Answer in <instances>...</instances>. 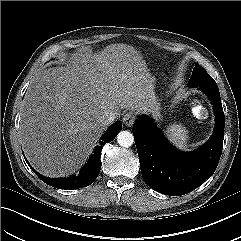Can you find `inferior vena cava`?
<instances>
[{
	"label": "inferior vena cava",
	"mask_w": 241,
	"mask_h": 241,
	"mask_svg": "<svg viewBox=\"0 0 241 241\" xmlns=\"http://www.w3.org/2000/svg\"><path fill=\"white\" fill-rule=\"evenodd\" d=\"M116 119V114L114 112H106L101 118L100 123L103 126L111 125Z\"/></svg>",
	"instance_id": "obj_1"
}]
</instances>
